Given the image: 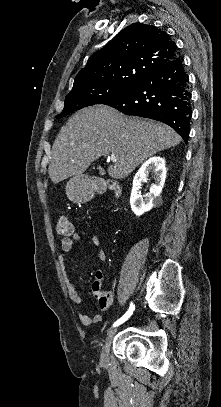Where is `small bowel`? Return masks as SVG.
<instances>
[{"mask_svg":"<svg viewBox=\"0 0 221 407\" xmlns=\"http://www.w3.org/2000/svg\"><path fill=\"white\" fill-rule=\"evenodd\" d=\"M82 239V236L78 233L75 232L71 237H65L61 239L60 243V251L58 253L57 259L60 264H64L65 261V255L69 254L72 250L73 247V242L80 241ZM92 241L94 244L98 245L99 244V237L96 234H93L91 237ZM98 258L100 260H105L106 259V254L102 249L98 250ZM63 277H64V284L66 291L69 295L70 300L76 304V305H81L83 303V297L82 295L78 292L76 284L72 279H70L65 272L63 271ZM103 279V272L100 269H96L93 272V281H92V290L91 294L92 297L97 301L101 302L102 300H107L108 302H111L112 298L109 293H106L104 291L102 292H97L94 290V286L97 284L101 285ZM78 318L80 322L84 325H91V324H96L101 321V315L96 314L93 317H90L86 313L83 312H78Z\"/></svg>","mask_w":221,"mask_h":407,"instance_id":"small-bowel-1","label":"small bowel"}]
</instances>
